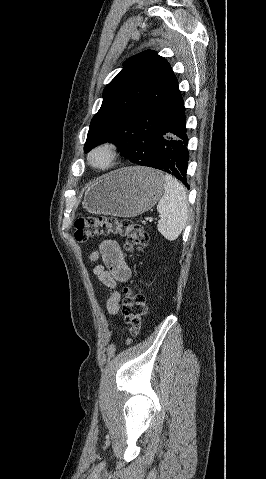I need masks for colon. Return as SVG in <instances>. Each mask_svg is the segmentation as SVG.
Returning a JSON list of instances; mask_svg holds the SVG:
<instances>
[{
	"instance_id": "obj_1",
	"label": "colon",
	"mask_w": 266,
	"mask_h": 479,
	"mask_svg": "<svg viewBox=\"0 0 266 479\" xmlns=\"http://www.w3.org/2000/svg\"><path fill=\"white\" fill-rule=\"evenodd\" d=\"M74 238L84 243L89 240L113 235L125 238V248L131 252L141 251L148 241V234L139 223L113 217H79L74 222ZM147 312L144 294L134 287L124 288L123 317L130 335L136 334Z\"/></svg>"
}]
</instances>
